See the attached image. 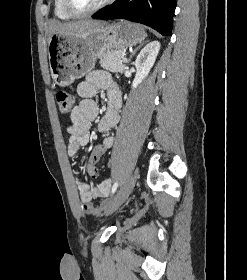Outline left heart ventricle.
Here are the masks:
<instances>
[{
	"instance_id": "1",
	"label": "left heart ventricle",
	"mask_w": 247,
	"mask_h": 280,
	"mask_svg": "<svg viewBox=\"0 0 247 280\" xmlns=\"http://www.w3.org/2000/svg\"><path fill=\"white\" fill-rule=\"evenodd\" d=\"M103 0H73L74 5L80 9H89L92 8Z\"/></svg>"
}]
</instances>
